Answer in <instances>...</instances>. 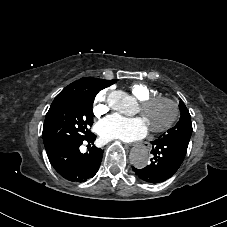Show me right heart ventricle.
<instances>
[{
  "instance_id": "1",
  "label": "right heart ventricle",
  "mask_w": 227,
  "mask_h": 227,
  "mask_svg": "<svg viewBox=\"0 0 227 227\" xmlns=\"http://www.w3.org/2000/svg\"><path fill=\"white\" fill-rule=\"evenodd\" d=\"M131 95L137 101L141 102L149 97L159 95L156 89L148 87L146 84L141 82H134L129 87Z\"/></svg>"
}]
</instances>
